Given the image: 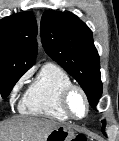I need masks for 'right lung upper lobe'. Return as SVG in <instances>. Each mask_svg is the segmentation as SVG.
<instances>
[{"mask_svg":"<svg viewBox=\"0 0 119 141\" xmlns=\"http://www.w3.org/2000/svg\"><path fill=\"white\" fill-rule=\"evenodd\" d=\"M37 22L29 12L0 20V72H26L37 55Z\"/></svg>","mask_w":119,"mask_h":141,"instance_id":"right-lung-upper-lobe-1","label":"right lung upper lobe"}]
</instances>
